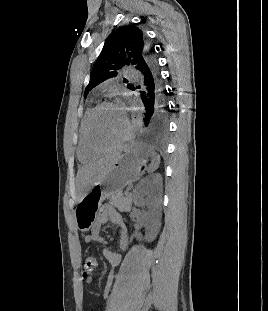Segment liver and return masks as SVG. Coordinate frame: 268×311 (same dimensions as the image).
Segmentation results:
<instances>
[{"instance_id": "6515ba94", "label": "liver", "mask_w": 268, "mask_h": 311, "mask_svg": "<svg viewBox=\"0 0 268 311\" xmlns=\"http://www.w3.org/2000/svg\"><path fill=\"white\" fill-rule=\"evenodd\" d=\"M120 153L100 159L96 163L82 167L77 173V187L79 191V201L91 189V187L101 180L110 166Z\"/></svg>"}]
</instances>
